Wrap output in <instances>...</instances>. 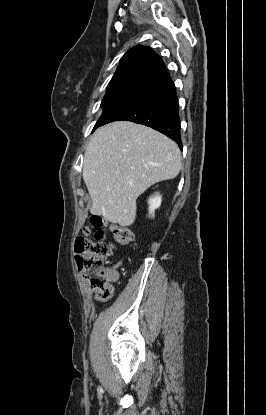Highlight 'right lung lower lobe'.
<instances>
[{"label":"right lung lower lobe","instance_id":"1","mask_svg":"<svg viewBox=\"0 0 266 415\" xmlns=\"http://www.w3.org/2000/svg\"><path fill=\"white\" fill-rule=\"evenodd\" d=\"M120 120L149 126L174 140L182 149L178 98L172 81L117 112L107 123Z\"/></svg>","mask_w":266,"mask_h":415}]
</instances>
